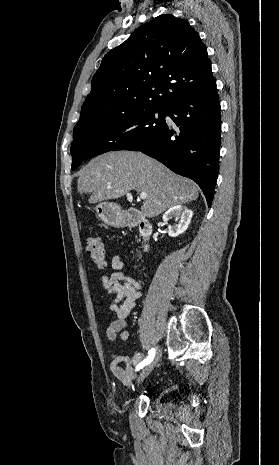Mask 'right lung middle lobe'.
Listing matches in <instances>:
<instances>
[{
  "label": "right lung middle lobe",
  "instance_id": "dd1d6c3e",
  "mask_svg": "<svg viewBox=\"0 0 279 465\" xmlns=\"http://www.w3.org/2000/svg\"><path fill=\"white\" fill-rule=\"evenodd\" d=\"M165 115V109L146 108L101 125L74 127L72 170L87 157L151 143L165 128Z\"/></svg>",
  "mask_w": 279,
  "mask_h": 465
}]
</instances>
